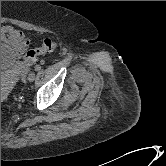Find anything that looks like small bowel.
Segmentation results:
<instances>
[{"mask_svg":"<svg viewBox=\"0 0 166 166\" xmlns=\"http://www.w3.org/2000/svg\"><path fill=\"white\" fill-rule=\"evenodd\" d=\"M1 41L9 42L12 45L16 55H21L29 46V40L16 28L4 25L1 26Z\"/></svg>","mask_w":166,"mask_h":166,"instance_id":"c3829d8e","label":"small bowel"}]
</instances>
